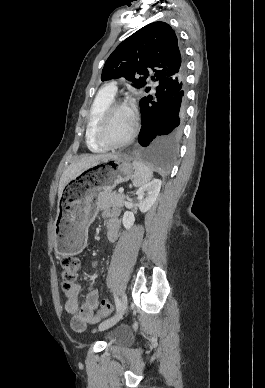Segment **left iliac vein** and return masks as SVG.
Returning a JSON list of instances; mask_svg holds the SVG:
<instances>
[{"label":"left iliac vein","mask_w":265,"mask_h":388,"mask_svg":"<svg viewBox=\"0 0 265 388\" xmlns=\"http://www.w3.org/2000/svg\"><path fill=\"white\" fill-rule=\"evenodd\" d=\"M126 308H127V295L123 292L121 296V305L119 310L116 312L114 316H112L110 319L102 322L99 325L98 327L99 331L107 330L112 326H114L116 323H118L120 319L123 317Z\"/></svg>","instance_id":"left-iliac-vein-1"}]
</instances>
